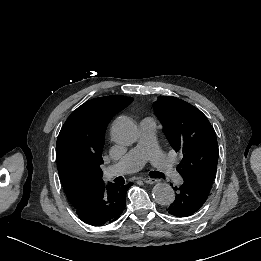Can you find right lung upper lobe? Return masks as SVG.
Segmentation results:
<instances>
[{"label": "right lung upper lobe", "instance_id": "obj_1", "mask_svg": "<svg viewBox=\"0 0 261 261\" xmlns=\"http://www.w3.org/2000/svg\"><path fill=\"white\" fill-rule=\"evenodd\" d=\"M132 101V97L125 96H104L89 100L78 107L61 128L56 143V160L65 194L72 205L104 182L102 174L96 177L90 185L72 184L65 177L70 160L95 161L102 164L101 153L107 124L116 113L123 110Z\"/></svg>", "mask_w": 261, "mask_h": 261}]
</instances>
